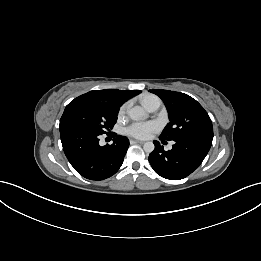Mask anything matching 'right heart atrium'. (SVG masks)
<instances>
[{
  "label": "right heart atrium",
  "instance_id": "d8ad5b80",
  "mask_svg": "<svg viewBox=\"0 0 261 261\" xmlns=\"http://www.w3.org/2000/svg\"><path fill=\"white\" fill-rule=\"evenodd\" d=\"M126 109H127V104L122 105L120 110H119V114L120 115L124 114Z\"/></svg>",
  "mask_w": 261,
  "mask_h": 261
}]
</instances>
